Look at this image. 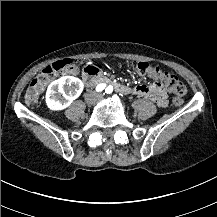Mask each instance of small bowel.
I'll return each mask as SVG.
<instances>
[{
  "label": "small bowel",
  "mask_w": 217,
  "mask_h": 217,
  "mask_svg": "<svg viewBox=\"0 0 217 217\" xmlns=\"http://www.w3.org/2000/svg\"><path fill=\"white\" fill-rule=\"evenodd\" d=\"M157 85L158 84H153L151 86L138 85L133 88L134 94L146 97L160 106H165L167 104V99L163 90Z\"/></svg>",
  "instance_id": "small-bowel-1"
}]
</instances>
